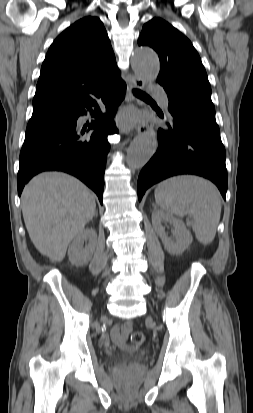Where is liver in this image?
Returning a JSON list of instances; mask_svg holds the SVG:
<instances>
[{"instance_id":"6515ba94","label":"liver","mask_w":253,"mask_h":413,"mask_svg":"<svg viewBox=\"0 0 253 413\" xmlns=\"http://www.w3.org/2000/svg\"><path fill=\"white\" fill-rule=\"evenodd\" d=\"M95 196L81 181L60 172L35 176L22 193V213L36 249L61 262L70 242L92 220Z\"/></svg>"}]
</instances>
